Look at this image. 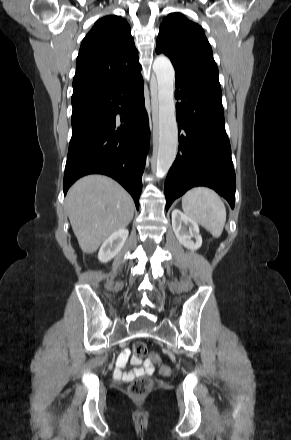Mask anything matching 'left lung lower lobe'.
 Returning <instances> with one entry per match:
<instances>
[{
    "instance_id": "0a47b994",
    "label": "left lung lower lobe",
    "mask_w": 291,
    "mask_h": 440,
    "mask_svg": "<svg viewBox=\"0 0 291 440\" xmlns=\"http://www.w3.org/2000/svg\"><path fill=\"white\" fill-rule=\"evenodd\" d=\"M175 86L180 143L165 182L166 210L195 186L214 189L233 208L236 178L221 89L180 76H176Z\"/></svg>"
}]
</instances>
